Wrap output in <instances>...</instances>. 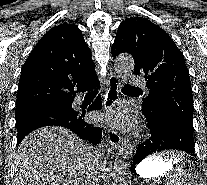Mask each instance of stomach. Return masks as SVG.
<instances>
[{
    "mask_svg": "<svg viewBox=\"0 0 207 185\" xmlns=\"http://www.w3.org/2000/svg\"><path fill=\"white\" fill-rule=\"evenodd\" d=\"M173 162L164 160L155 155L142 161L136 168L137 174L146 179L164 176L168 171L173 169Z\"/></svg>",
    "mask_w": 207,
    "mask_h": 185,
    "instance_id": "0dacf381",
    "label": "stomach"
}]
</instances>
